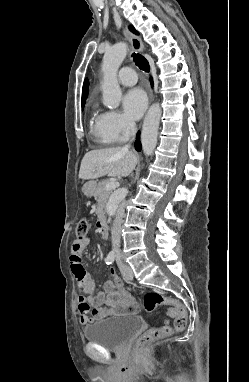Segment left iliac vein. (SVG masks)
Returning <instances> with one entry per match:
<instances>
[{"mask_svg":"<svg viewBox=\"0 0 249 382\" xmlns=\"http://www.w3.org/2000/svg\"><path fill=\"white\" fill-rule=\"evenodd\" d=\"M117 262H118V265H119V268L121 270L123 277L126 280H132L133 279V272H132L131 267L128 266L127 264L123 263L119 257L117 258Z\"/></svg>","mask_w":249,"mask_h":382,"instance_id":"4c4485c4","label":"left iliac vein"}]
</instances>
